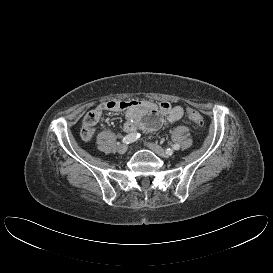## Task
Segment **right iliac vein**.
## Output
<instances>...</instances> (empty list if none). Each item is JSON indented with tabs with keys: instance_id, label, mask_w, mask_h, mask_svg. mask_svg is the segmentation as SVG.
I'll use <instances>...</instances> for the list:
<instances>
[{
	"instance_id": "63e3f726",
	"label": "right iliac vein",
	"mask_w": 273,
	"mask_h": 273,
	"mask_svg": "<svg viewBox=\"0 0 273 273\" xmlns=\"http://www.w3.org/2000/svg\"><path fill=\"white\" fill-rule=\"evenodd\" d=\"M127 149H128V146L126 144H121L118 146L117 152L119 154H124L127 151Z\"/></svg>"
}]
</instances>
